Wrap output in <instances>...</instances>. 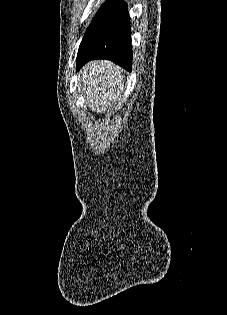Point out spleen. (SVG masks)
<instances>
[{
    "label": "spleen",
    "instance_id": "obj_1",
    "mask_svg": "<svg viewBox=\"0 0 227 315\" xmlns=\"http://www.w3.org/2000/svg\"><path fill=\"white\" fill-rule=\"evenodd\" d=\"M83 82L86 100L97 112L115 102L123 90V76L119 67L110 62H94L84 70Z\"/></svg>",
    "mask_w": 227,
    "mask_h": 315
}]
</instances>
